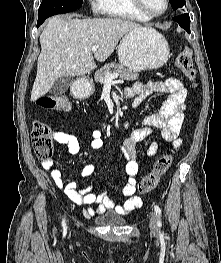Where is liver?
<instances>
[{"instance_id":"6515ba94","label":"liver","mask_w":221,"mask_h":263,"mask_svg":"<svg viewBox=\"0 0 221 263\" xmlns=\"http://www.w3.org/2000/svg\"><path fill=\"white\" fill-rule=\"evenodd\" d=\"M133 30L154 31L119 18L64 19L56 16L49 19L40 35L41 53L31 101L48 93L62 76H82L94 70V59L104 62L119 40ZM95 45L98 49L92 52Z\"/></svg>"}]
</instances>
